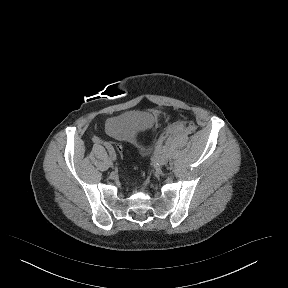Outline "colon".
Here are the masks:
<instances>
[{"label":"colon","mask_w":288,"mask_h":288,"mask_svg":"<svg viewBox=\"0 0 288 288\" xmlns=\"http://www.w3.org/2000/svg\"><path fill=\"white\" fill-rule=\"evenodd\" d=\"M118 151L122 154V147L120 145L117 146Z\"/></svg>","instance_id":"colon-1"}]
</instances>
